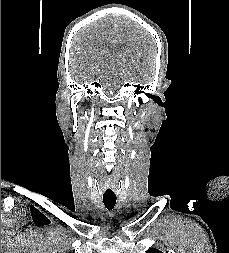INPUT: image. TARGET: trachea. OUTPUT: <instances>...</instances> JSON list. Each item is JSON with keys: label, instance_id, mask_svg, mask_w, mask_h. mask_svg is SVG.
Returning a JSON list of instances; mask_svg holds the SVG:
<instances>
[{"label": "trachea", "instance_id": "1", "mask_svg": "<svg viewBox=\"0 0 229 253\" xmlns=\"http://www.w3.org/2000/svg\"><path fill=\"white\" fill-rule=\"evenodd\" d=\"M103 203L108 210H112L116 204L115 197H103Z\"/></svg>", "mask_w": 229, "mask_h": 253}]
</instances>
